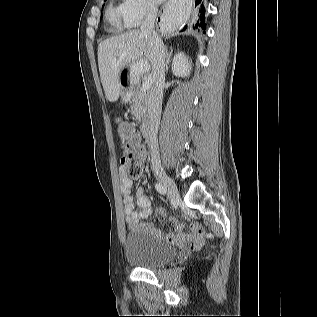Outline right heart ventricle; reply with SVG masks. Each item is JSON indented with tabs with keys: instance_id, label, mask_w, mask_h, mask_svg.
I'll use <instances>...</instances> for the list:
<instances>
[{
	"instance_id": "obj_1",
	"label": "right heart ventricle",
	"mask_w": 317,
	"mask_h": 317,
	"mask_svg": "<svg viewBox=\"0 0 317 317\" xmlns=\"http://www.w3.org/2000/svg\"><path fill=\"white\" fill-rule=\"evenodd\" d=\"M106 19L112 29L116 32H120L126 28H129V25L124 17L122 5L111 3L106 10Z\"/></svg>"
}]
</instances>
